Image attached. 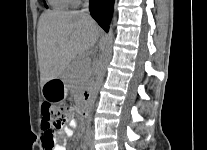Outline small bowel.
<instances>
[{
    "label": "small bowel",
    "instance_id": "obj_1",
    "mask_svg": "<svg viewBox=\"0 0 207 150\" xmlns=\"http://www.w3.org/2000/svg\"><path fill=\"white\" fill-rule=\"evenodd\" d=\"M77 128V122L75 119H70L67 125L64 127L63 131L59 134H54V146L51 150H66V142L69 137H71L74 131ZM42 144H44L43 136H42Z\"/></svg>",
    "mask_w": 207,
    "mask_h": 150
}]
</instances>
